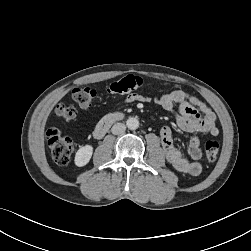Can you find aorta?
Returning a JSON list of instances; mask_svg holds the SVG:
<instances>
[{"mask_svg":"<svg viewBox=\"0 0 251 251\" xmlns=\"http://www.w3.org/2000/svg\"><path fill=\"white\" fill-rule=\"evenodd\" d=\"M126 125L130 130H136L139 127V120L135 117H129L126 121Z\"/></svg>","mask_w":251,"mask_h":251,"instance_id":"1","label":"aorta"}]
</instances>
